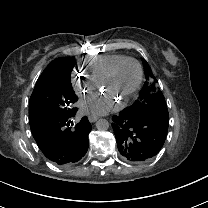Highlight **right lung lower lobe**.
<instances>
[{"instance_id": "1", "label": "right lung lower lobe", "mask_w": 208, "mask_h": 208, "mask_svg": "<svg viewBox=\"0 0 208 208\" xmlns=\"http://www.w3.org/2000/svg\"><path fill=\"white\" fill-rule=\"evenodd\" d=\"M74 116L75 114L57 116L48 121H30L38 147L55 164L70 165L78 162L88 150V135L92 126L85 116L72 127L71 118Z\"/></svg>"}]
</instances>
